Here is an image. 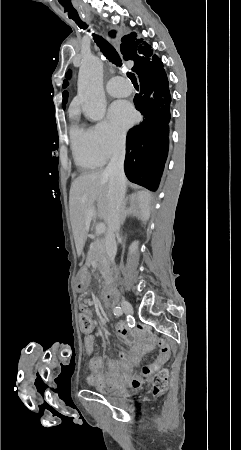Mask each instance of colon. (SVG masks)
I'll list each match as a JSON object with an SVG mask.
<instances>
[{
	"label": "colon",
	"instance_id": "1",
	"mask_svg": "<svg viewBox=\"0 0 241 450\" xmlns=\"http://www.w3.org/2000/svg\"><path fill=\"white\" fill-rule=\"evenodd\" d=\"M79 332L82 334H91L93 332V316L86 315L79 319ZM171 371L168 369L166 372L158 371L153 376L152 382V395L158 397L168 387V374ZM168 373V374H167Z\"/></svg>",
	"mask_w": 241,
	"mask_h": 450
}]
</instances>
